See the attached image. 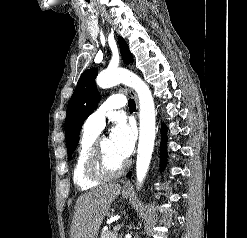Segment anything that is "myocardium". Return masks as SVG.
<instances>
[{
  "label": "myocardium",
  "mask_w": 247,
  "mask_h": 238,
  "mask_svg": "<svg viewBox=\"0 0 247 238\" xmlns=\"http://www.w3.org/2000/svg\"><path fill=\"white\" fill-rule=\"evenodd\" d=\"M103 139L104 137L95 140L85 164L87 176L95 180H109L119 177L126 171L129 165L127 161H124L118 169L108 168L102 152Z\"/></svg>",
  "instance_id": "myocardium-1"
}]
</instances>
